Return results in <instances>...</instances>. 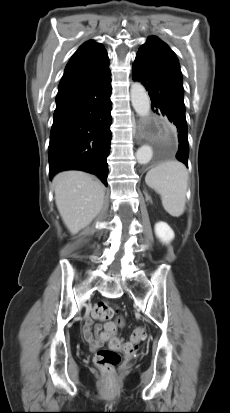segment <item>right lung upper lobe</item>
Here are the masks:
<instances>
[{
    "label": "right lung upper lobe",
    "mask_w": 230,
    "mask_h": 413,
    "mask_svg": "<svg viewBox=\"0 0 230 413\" xmlns=\"http://www.w3.org/2000/svg\"><path fill=\"white\" fill-rule=\"evenodd\" d=\"M109 71V58L105 48L100 43L90 40L80 46L71 57L58 88L79 85Z\"/></svg>",
    "instance_id": "obj_1"
}]
</instances>
